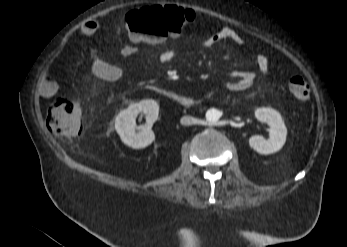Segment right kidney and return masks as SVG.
<instances>
[{
	"label": "right kidney",
	"mask_w": 347,
	"mask_h": 247,
	"mask_svg": "<svg viewBox=\"0 0 347 247\" xmlns=\"http://www.w3.org/2000/svg\"><path fill=\"white\" fill-rule=\"evenodd\" d=\"M141 112L146 115V124L138 127L139 132H136L135 119ZM158 115L159 105L156 101L151 99L142 100L139 103L131 104L116 116L115 130L125 145L134 149L145 148L155 139L151 127L158 119Z\"/></svg>",
	"instance_id": "ca27d5eb"
}]
</instances>
